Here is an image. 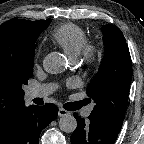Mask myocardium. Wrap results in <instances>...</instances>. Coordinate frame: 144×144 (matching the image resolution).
Listing matches in <instances>:
<instances>
[{
	"instance_id": "myocardium-1",
	"label": "myocardium",
	"mask_w": 144,
	"mask_h": 144,
	"mask_svg": "<svg viewBox=\"0 0 144 144\" xmlns=\"http://www.w3.org/2000/svg\"><path fill=\"white\" fill-rule=\"evenodd\" d=\"M80 60L84 64H93L99 57V47L95 42L86 41L79 53Z\"/></svg>"
}]
</instances>
